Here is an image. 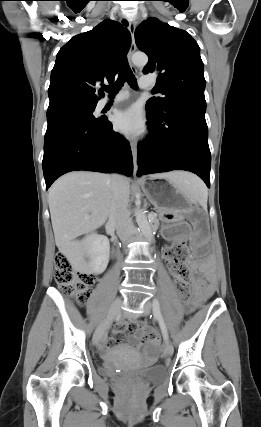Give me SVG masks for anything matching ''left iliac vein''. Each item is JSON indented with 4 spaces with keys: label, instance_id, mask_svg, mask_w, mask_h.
I'll return each instance as SVG.
<instances>
[{
    "label": "left iliac vein",
    "instance_id": "obj_1",
    "mask_svg": "<svg viewBox=\"0 0 261 427\" xmlns=\"http://www.w3.org/2000/svg\"><path fill=\"white\" fill-rule=\"evenodd\" d=\"M143 310H144V314H145V315H149V314H150V312H151V310H152V303H151V301H146V302L143 304ZM164 352H165V354H166L167 356H172V354H173V352H174L173 346H172V344L170 343V341H168V340H166V341H165V349H164Z\"/></svg>",
    "mask_w": 261,
    "mask_h": 427
}]
</instances>
